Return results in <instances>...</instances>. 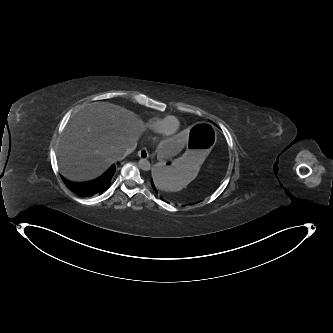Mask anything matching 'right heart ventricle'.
<instances>
[{"label": "right heart ventricle", "mask_w": 333, "mask_h": 333, "mask_svg": "<svg viewBox=\"0 0 333 333\" xmlns=\"http://www.w3.org/2000/svg\"><path fill=\"white\" fill-rule=\"evenodd\" d=\"M170 116V115H168ZM168 116H164V117H152L150 119H148L145 123V127L151 131V132H159L162 124L164 122V120L168 117ZM174 120L177 123V127H180V121L175 117Z\"/></svg>", "instance_id": "e07e8e85"}]
</instances>
